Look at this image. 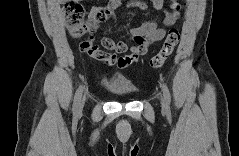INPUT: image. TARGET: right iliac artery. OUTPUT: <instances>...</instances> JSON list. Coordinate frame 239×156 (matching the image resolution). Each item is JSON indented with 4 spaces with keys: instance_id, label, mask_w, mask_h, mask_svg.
Returning <instances> with one entry per match:
<instances>
[{
    "instance_id": "1",
    "label": "right iliac artery",
    "mask_w": 239,
    "mask_h": 156,
    "mask_svg": "<svg viewBox=\"0 0 239 156\" xmlns=\"http://www.w3.org/2000/svg\"><path fill=\"white\" fill-rule=\"evenodd\" d=\"M82 92H83V87L80 86L77 89V91L75 93V97H74L73 108H72V111L74 114L78 113L79 105H80V101H81V97H82Z\"/></svg>"
}]
</instances>
